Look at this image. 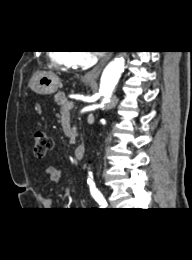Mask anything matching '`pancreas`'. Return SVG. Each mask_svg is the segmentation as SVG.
<instances>
[{
    "label": "pancreas",
    "instance_id": "cf45deb5",
    "mask_svg": "<svg viewBox=\"0 0 192 260\" xmlns=\"http://www.w3.org/2000/svg\"><path fill=\"white\" fill-rule=\"evenodd\" d=\"M55 102L61 106V109L64 110L65 109V105L68 102L67 99L65 98V94L63 92H58L55 96H54ZM75 137H76V131L73 130L71 137H70V143L74 144L75 143Z\"/></svg>",
    "mask_w": 192,
    "mask_h": 260
}]
</instances>
